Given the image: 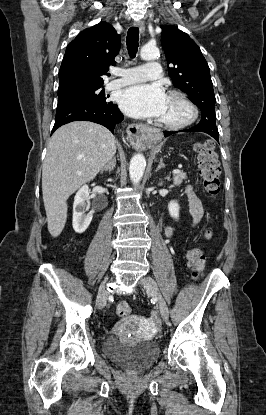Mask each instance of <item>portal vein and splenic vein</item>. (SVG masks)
I'll return each mask as SVG.
<instances>
[{
  "label": "portal vein and splenic vein",
  "instance_id": "portal-vein-and-splenic-vein-1",
  "mask_svg": "<svg viewBox=\"0 0 266 415\" xmlns=\"http://www.w3.org/2000/svg\"><path fill=\"white\" fill-rule=\"evenodd\" d=\"M172 172H173L174 174H179V173H181V170H180V169H174Z\"/></svg>",
  "mask_w": 266,
  "mask_h": 415
}]
</instances>
